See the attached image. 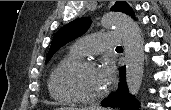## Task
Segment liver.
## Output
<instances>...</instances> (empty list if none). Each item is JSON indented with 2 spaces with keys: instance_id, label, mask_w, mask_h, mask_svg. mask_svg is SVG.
Segmentation results:
<instances>
[{
  "instance_id": "obj_1",
  "label": "liver",
  "mask_w": 171,
  "mask_h": 110,
  "mask_svg": "<svg viewBox=\"0 0 171 110\" xmlns=\"http://www.w3.org/2000/svg\"><path fill=\"white\" fill-rule=\"evenodd\" d=\"M90 109H92V107H90V108H83V109H77V108H63V110H90Z\"/></svg>"
}]
</instances>
